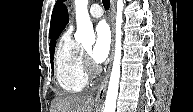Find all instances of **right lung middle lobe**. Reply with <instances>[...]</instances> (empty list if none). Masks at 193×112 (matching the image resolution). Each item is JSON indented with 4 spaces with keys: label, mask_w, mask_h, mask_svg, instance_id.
Here are the masks:
<instances>
[{
    "label": "right lung middle lobe",
    "mask_w": 193,
    "mask_h": 112,
    "mask_svg": "<svg viewBox=\"0 0 193 112\" xmlns=\"http://www.w3.org/2000/svg\"><path fill=\"white\" fill-rule=\"evenodd\" d=\"M54 51H55V47L50 49V57H51V65L53 68V58H54Z\"/></svg>",
    "instance_id": "right-lung-middle-lobe-1"
}]
</instances>
